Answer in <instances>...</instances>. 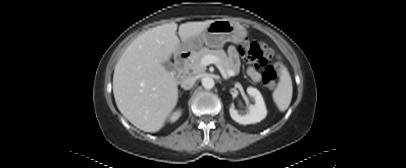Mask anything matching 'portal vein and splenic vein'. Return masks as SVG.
<instances>
[{"instance_id": "portal-vein-and-splenic-vein-1", "label": "portal vein and splenic vein", "mask_w": 406, "mask_h": 168, "mask_svg": "<svg viewBox=\"0 0 406 168\" xmlns=\"http://www.w3.org/2000/svg\"><path fill=\"white\" fill-rule=\"evenodd\" d=\"M210 64H215L217 68L220 70L222 76L226 79L228 77L234 76L235 73L233 70H228L227 73L223 70V68L219 64V60L216 56L212 55H205L202 60H201V65L202 66H207Z\"/></svg>"}]
</instances>
